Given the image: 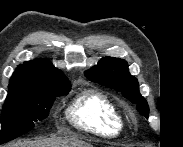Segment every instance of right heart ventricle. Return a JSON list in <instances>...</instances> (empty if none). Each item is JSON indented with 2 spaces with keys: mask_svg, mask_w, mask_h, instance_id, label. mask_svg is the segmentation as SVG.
<instances>
[{
  "mask_svg": "<svg viewBox=\"0 0 183 147\" xmlns=\"http://www.w3.org/2000/svg\"><path fill=\"white\" fill-rule=\"evenodd\" d=\"M66 115L77 129L102 137H115L124 129L116 104L97 90L79 94L68 106Z\"/></svg>",
  "mask_w": 183,
  "mask_h": 147,
  "instance_id": "obj_1",
  "label": "right heart ventricle"
}]
</instances>
